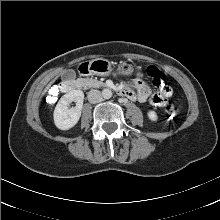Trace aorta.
I'll return each mask as SVG.
<instances>
[{
  "instance_id": "1",
  "label": "aorta",
  "mask_w": 220,
  "mask_h": 220,
  "mask_svg": "<svg viewBox=\"0 0 220 220\" xmlns=\"http://www.w3.org/2000/svg\"><path fill=\"white\" fill-rule=\"evenodd\" d=\"M102 96L104 99H110L112 97V91L108 88L102 90Z\"/></svg>"
}]
</instances>
